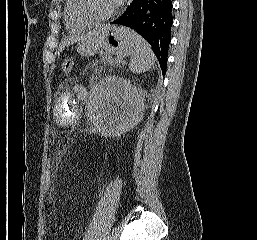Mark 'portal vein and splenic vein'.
I'll return each instance as SVG.
<instances>
[{
	"label": "portal vein and splenic vein",
	"instance_id": "1",
	"mask_svg": "<svg viewBox=\"0 0 257 240\" xmlns=\"http://www.w3.org/2000/svg\"><path fill=\"white\" fill-rule=\"evenodd\" d=\"M117 61H120V59H119V58H117Z\"/></svg>",
	"mask_w": 257,
	"mask_h": 240
}]
</instances>
